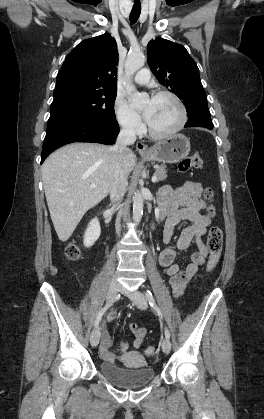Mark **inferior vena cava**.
I'll return each instance as SVG.
<instances>
[{"label": "inferior vena cava", "mask_w": 264, "mask_h": 419, "mask_svg": "<svg viewBox=\"0 0 264 419\" xmlns=\"http://www.w3.org/2000/svg\"><path fill=\"white\" fill-rule=\"evenodd\" d=\"M136 141V133L134 127L131 125H124L117 137L114 151V181L110 190V197L113 202L119 203L122 200L126 187L128 185L127 175L123 170V159L126 152L129 150L128 146L134 144ZM123 214L122 208L119 210L116 219V232L120 231V219Z\"/></svg>", "instance_id": "obj_1"}]
</instances>
